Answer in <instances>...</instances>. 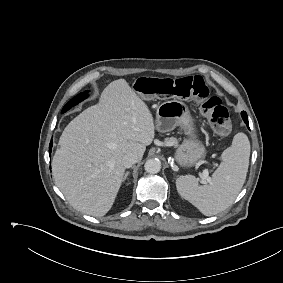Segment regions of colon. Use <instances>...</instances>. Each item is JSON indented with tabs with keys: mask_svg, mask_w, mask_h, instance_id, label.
Returning <instances> with one entry per match:
<instances>
[{
	"mask_svg": "<svg viewBox=\"0 0 283 283\" xmlns=\"http://www.w3.org/2000/svg\"><path fill=\"white\" fill-rule=\"evenodd\" d=\"M134 89L147 100L169 97L193 99L199 103L202 114L208 118L216 134L226 136L231 131L228 110L219 97L211 94L209 86L200 76L176 80L142 77L136 81Z\"/></svg>",
	"mask_w": 283,
	"mask_h": 283,
	"instance_id": "1",
	"label": "colon"
}]
</instances>
